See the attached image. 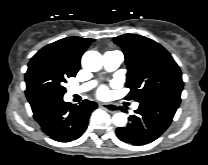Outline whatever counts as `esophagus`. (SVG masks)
Masks as SVG:
<instances>
[{"instance_id":"34e87169","label":"esophagus","mask_w":208,"mask_h":165,"mask_svg":"<svg viewBox=\"0 0 208 165\" xmlns=\"http://www.w3.org/2000/svg\"><path fill=\"white\" fill-rule=\"evenodd\" d=\"M99 107L104 108L105 110L115 113L117 112V107L114 104L110 103H99Z\"/></svg>"}]
</instances>
